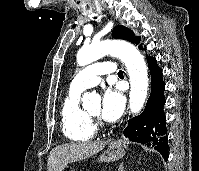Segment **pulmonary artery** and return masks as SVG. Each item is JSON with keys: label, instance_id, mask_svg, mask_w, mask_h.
<instances>
[{"label": "pulmonary artery", "instance_id": "e3ab8cb5", "mask_svg": "<svg viewBox=\"0 0 199 171\" xmlns=\"http://www.w3.org/2000/svg\"><path fill=\"white\" fill-rule=\"evenodd\" d=\"M115 67L110 62H95L79 71L73 78L70 89L73 91H83L96 86L102 76L115 73Z\"/></svg>", "mask_w": 199, "mask_h": 171}]
</instances>
